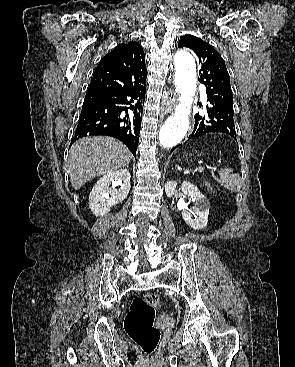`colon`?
I'll return each instance as SVG.
<instances>
[{
	"label": "colon",
	"mask_w": 295,
	"mask_h": 367,
	"mask_svg": "<svg viewBox=\"0 0 295 367\" xmlns=\"http://www.w3.org/2000/svg\"><path fill=\"white\" fill-rule=\"evenodd\" d=\"M159 298L148 292L136 297L125 317L124 327L128 336L146 355H151L160 340V331L155 326V309Z\"/></svg>",
	"instance_id": "1"
}]
</instances>
